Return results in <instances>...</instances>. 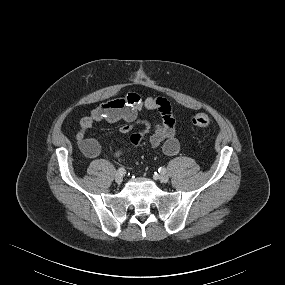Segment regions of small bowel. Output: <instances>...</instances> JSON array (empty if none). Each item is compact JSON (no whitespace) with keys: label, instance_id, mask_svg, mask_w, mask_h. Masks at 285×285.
Instances as JSON below:
<instances>
[{"label":"small bowel","instance_id":"c3829d8e","mask_svg":"<svg viewBox=\"0 0 285 285\" xmlns=\"http://www.w3.org/2000/svg\"><path fill=\"white\" fill-rule=\"evenodd\" d=\"M143 109L156 111L160 115L154 126L138 118ZM120 121L124 124L118 131L123 134L131 132L138 125L142 126L139 133L130 137L133 147H137L143 137L151 133L149 142L153 148L161 147L166 155H175L180 149L175 129L176 119L170 103L165 98L151 96L142 98L137 93L130 92L122 98L102 103L80 120L76 140L82 152L89 158L96 157L100 152L98 142L87 138V133L94 123Z\"/></svg>","mask_w":285,"mask_h":285}]
</instances>
